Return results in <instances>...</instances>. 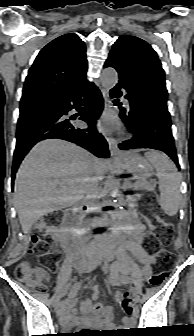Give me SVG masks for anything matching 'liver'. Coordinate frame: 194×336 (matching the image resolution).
I'll list each match as a JSON object with an SVG mask.
<instances>
[{
	"label": "liver",
	"instance_id": "liver-1",
	"mask_svg": "<svg viewBox=\"0 0 194 336\" xmlns=\"http://www.w3.org/2000/svg\"><path fill=\"white\" fill-rule=\"evenodd\" d=\"M108 167V161L64 140L36 144L21 163L15 181V206L23 233H30L42 216L83 199L94 168L102 175Z\"/></svg>",
	"mask_w": 194,
	"mask_h": 336
}]
</instances>
